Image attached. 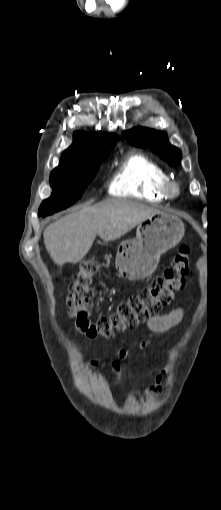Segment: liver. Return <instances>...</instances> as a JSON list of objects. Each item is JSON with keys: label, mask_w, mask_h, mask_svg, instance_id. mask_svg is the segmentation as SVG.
<instances>
[{"label": "liver", "mask_w": 221, "mask_h": 510, "mask_svg": "<svg viewBox=\"0 0 221 510\" xmlns=\"http://www.w3.org/2000/svg\"><path fill=\"white\" fill-rule=\"evenodd\" d=\"M161 212L147 205L108 199L61 217L43 233L46 250L54 263H77L89 252L96 235L103 241L119 239L151 215Z\"/></svg>", "instance_id": "1"}]
</instances>
